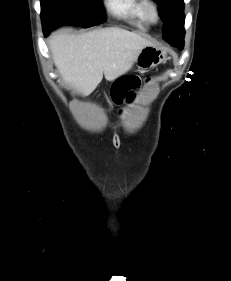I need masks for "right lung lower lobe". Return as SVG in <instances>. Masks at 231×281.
<instances>
[{"label": "right lung lower lobe", "instance_id": "1", "mask_svg": "<svg viewBox=\"0 0 231 281\" xmlns=\"http://www.w3.org/2000/svg\"><path fill=\"white\" fill-rule=\"evenodd\" d=\"M44 29V35L45 37L49 35V33L53 30V29H46V28H43Z\"/></svg>", "mask_w": 231, "mask_h": 281}]
</instances>
